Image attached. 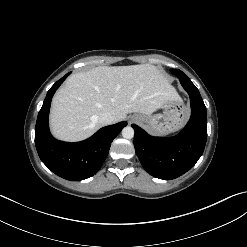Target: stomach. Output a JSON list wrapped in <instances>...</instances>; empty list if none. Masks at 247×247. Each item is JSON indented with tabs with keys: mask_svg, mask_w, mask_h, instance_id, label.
<instances>
[{
	"mask_svg": "<svg viewBox=\"0 0 247 247\" xmlns=\"http://www.w3.org/2000/svg\"><path fill=\"white\" fill-rule=\"evenodd\" d=\"M162 113L153 115H136L139 124L154 135H168L180 130L189 117V109L182 99L165 101Z\"/></svg>",
	"mask_w": 247,
	"mask_h": 247,
	"instance_id": "stomach-1",
	"label": "stomach"
}]
</instances>
